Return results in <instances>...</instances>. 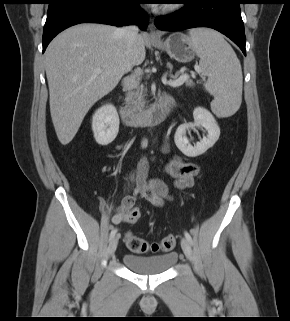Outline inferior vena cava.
I'll list each match as a JSON object with an SVG mask.
<instances>
[{
    "label": "inferior vena cava",
    "instance_id": "inferior-vena-cava-1",
    "mask_svg": "<svg viewBox=\"0 0 290 321\" xmlns=\"http://www.w3.org/2000/svg\"><path fill=\"white\" fill-rule=\"evenodd\" d=\"M119 34L123 37L124 41L131 45L137 38L138 35V27L135 25H130L123 27L119 30Z\"/></svg>",
    "mask_w": 290,
    "mask_h": 321
}]
</instances>
